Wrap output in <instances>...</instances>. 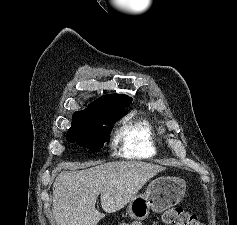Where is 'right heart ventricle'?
Wrapping results in <instances>:
<instances>
[{
    "label": "right heart ventricle",
    "instance_id": "obj_1",
    "mask_svg": "<svg viewBox=\"0 0 237 225\" xmlns=\"http://www.w3.org/2000/svg\"><path fill=\"white\" fill-rule=\"evenodd\" d=\"M117 139L121 142V154L128 158H149L157 152L155 133L147 121L124 125Z\"/></svg>",
    "mask_w": 237,
    "mask_h": 225
}]
</instances>
